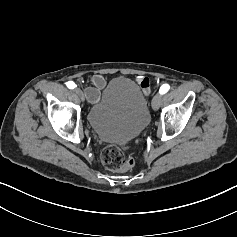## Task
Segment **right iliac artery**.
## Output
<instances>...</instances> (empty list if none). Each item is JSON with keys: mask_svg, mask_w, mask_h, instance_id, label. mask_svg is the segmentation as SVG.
Segmentation results:
<instances>
[{"mask_svg": "<svg viewBox=\"0 0 237 237\" xmlns=\"http://www.w3.org/2000/svg\"><path fill=\"white\" fill-rule=\"evenodd\" d=\"M66 85L69 89H74L76 87V85L73 81L67 82Z\"/></svg>", "mask_w": 237, "mask_h": 237, "instance_id": "obj_1", "label": "right iliac artery"}]
</instances>
